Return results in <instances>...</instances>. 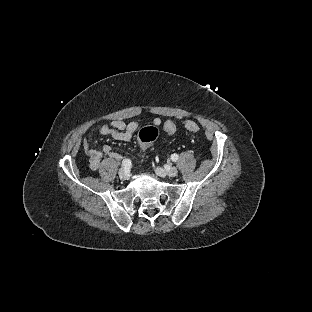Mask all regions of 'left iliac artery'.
<instances>
[{"label": "left iliac artery", "mask_w": 312, "mask_h": 312, "mask_svg": "<svg viewBox=\"0 0 312 312\" xmlns=\"http://www.w3.org/2000/svg\"><path fill=\"white\" fill-rule=\"evenodd\" d=\"M171 160H172V161H177V160H178V155L175 154V153L172 154V155H171Z\"/></svg>", "instance_id": "44dca946"}]
</instances>
